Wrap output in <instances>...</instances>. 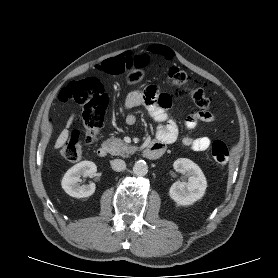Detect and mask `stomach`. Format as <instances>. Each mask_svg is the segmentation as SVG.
I'll list each match as a JSON object with an SVG mask.
<instances>
[{"instance_id":"1","label":"stomach","mask_w":278,"mask_h":278,"mask_svg":"<svg viewBox=\"0 0 278 278\" xmlns=\"http://www.w3.org/2000/svg\"><path fill=\"white\" fill-rule=\"evenodd\" d=\"M145 71L134 69L127 75V83L128 84H135L143 79Z\"/></svg>"}]
</instances>
